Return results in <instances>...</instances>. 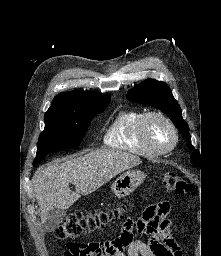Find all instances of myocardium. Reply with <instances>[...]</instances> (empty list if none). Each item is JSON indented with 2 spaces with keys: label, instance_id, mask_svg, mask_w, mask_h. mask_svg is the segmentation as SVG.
<instances>
[{
  "label": "myocardium",
  "instance_id": "myocardium-1",
  "mask_svg": "<svg viewBox=\"0 0 221 256\" xmlns=\"http://www.w3.org/2000/svg\"><path fill=\"white\" fill-rule=\"evenodd\" d=\"M152 118H159L163 120L170 128L172 135H173V142L170 146L166 148H158L156 147L149 139L147 135V123ZM138 136L141 142L148 147L151 151H153L155 154H166L170 151H172L178 144L179 141V135L177 128L173 121L164 113L160 111H149L147 113H144L140 119L139 122V128H138Z\"/></svg>",
  "mask_w": 221,
  "mask_h": 256
}]
</instances>
